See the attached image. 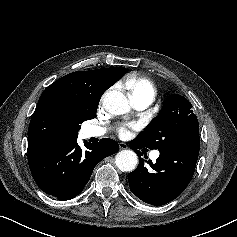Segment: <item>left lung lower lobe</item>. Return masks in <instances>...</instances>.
Masks as SVG:
<instances>
[{
	"mask_svg": "<svg viewBox=\"0 0 237 237\" xmlns=\"http://www.w3.org/2000/svg\"><path fill=\"white\" fill-rule=\"evenodd\" d=\"M144 146L136 139L131 141L130 148L139 157V166L128 174L131 192L142 201L160 206L177 198L188 186L195 171L199 148V131H195L179 147L170 150H159L156 163L146 161L139 149Z\"/></svg>",
	"mask_w": 237,
	"mask_h": 237,
	"instance_id": "obj_1",
	"label": "left lung lower lobe"
}]
</instances>
